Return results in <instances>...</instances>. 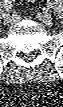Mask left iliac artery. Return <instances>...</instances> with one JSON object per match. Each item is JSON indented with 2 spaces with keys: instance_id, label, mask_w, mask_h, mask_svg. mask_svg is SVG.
<instances>
[{
  "instance_id": "1",
  "label": "left iliac artery",
  "mask_w": 63,
  "mask_h": 107,
  "mask_svg": "<svg viewBox=\"0 0 63 107\" xmlns=\"http://www.w3.org/2000/svg\"><path fill=\"white\" fill-rule=\"evenodd\" d=\"M47 7L52 8V3L49 0L47 1Z\"/></svg>"
}]
</instances>
